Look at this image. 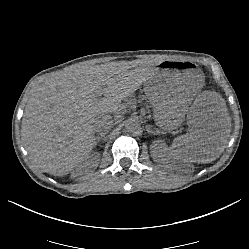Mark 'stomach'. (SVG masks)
<instances>
[{"label": "stomach", "mask_w": 249, "mask_h": 249, "mask_svg": "<svg viewBox=\"0 0 249 249\" xmlns=\"http://www.w3.org/2000/svg\"><path fill=\"white\" fill-rule=\"evenodd\" d=\"M203 86V72L193 63L166 60L144 83L145 99L160 125L174 127Z\"/></svg>", "instance_id": "obj_1"}]
</instances>
